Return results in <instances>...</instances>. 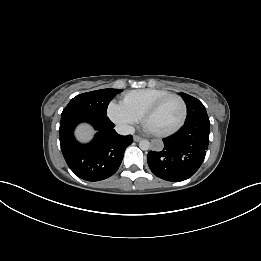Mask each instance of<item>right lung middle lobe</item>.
<instances>
[{"instance_id":"right-lung-middle-lobe-1","label":"right lung middle lobe","mask_w":261,"mask_h":261,"mask_svg":"<svg viewBox=\"0 0 261 261\" xmlns=\"http://www.w3.org/2000/svg\"><path fill=\"white\" fill-rule=\"evenodd\" d=\"M121 91L122 89L109 88L83 93L74 97L64 109L106 115L109 102Z\"/></svg>"}]
</instances>
